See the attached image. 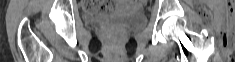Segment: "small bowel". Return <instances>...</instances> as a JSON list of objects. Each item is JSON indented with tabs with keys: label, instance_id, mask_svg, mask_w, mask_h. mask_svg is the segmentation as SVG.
<instances>
[{
	"label": "small bowel",
	"instance_id": "obj_1",
	"mask_svg": "<svg viewBox=\"0 0 235 62\" xmlns=\"http://www.w3.org/2000/svg\"><path fill=\"white\" fill-rule=\"evenodd\" d=\"M92 5H93L95 8H97V7L103 6V5H105V4H104V3L95 2V3H92ZM108 7H109L108 11L112 9V6H111V5H109Z\"/></svg>",
	"mask_w": 235,
	"mask_h": 62
}]
</instances>
